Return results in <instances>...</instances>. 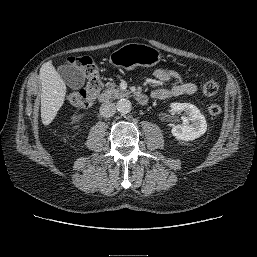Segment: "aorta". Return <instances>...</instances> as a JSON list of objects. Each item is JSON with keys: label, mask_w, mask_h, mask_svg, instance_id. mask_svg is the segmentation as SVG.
I'll return each instance as SVG.
<instances>
[{"label": "aorta", "mask_w": 257, "mask_h": 257, "mask_svg": "<svg viewBox=\"0 0 257 257\" xmlns=\"http://www.w3.org/2000/svg\"><path fill=\"white\" fill-rule=\"evenodd\" d=\"M116 108L120 113H128L131 111L132 104L128 99H120L116 104Z\"/></svg>", "instance_id": "obj_1"}]
</instances>
